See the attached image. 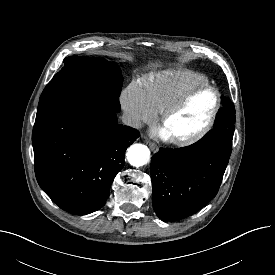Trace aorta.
Segmentation results:
<instances>
[{
  "instance_id": "1",
  "label": "aorta",
  "mask_w": 275,
  "mask_h": 275,
  "mask_svg": "<svg viewBox=\"0 0 275 275\" xmlns=\"http://www.w3.org/2000/svg\"><path fill=\"white\" fill-rule=\"evenodd\" d=\"M128 162L135 167L147 164L150 160V150L143 144H133L127 151Z\"/></svg>"
}]
</instances>
